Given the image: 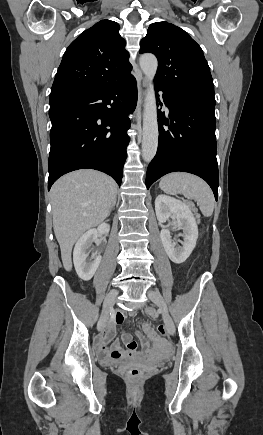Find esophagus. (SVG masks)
Here are the masks:
<instances>
[{"mask_svg": "<svg viewBox=\"0 0 263 435\" xmlns=\"http://www.w3.org/2000/svg\"><path fill=\"white\" fill-rule=\"evenodd\" d=\"M148 86V81L146 78H143L142 83L139 87V94H140V108H139V112L141 113V109L143 107L144 104V99H145V94H146V88Z\"/></svg>", "mask_w": 263, "mask_h": 435, "instance_id": "1", "label": "esophagus"}]
</instances>
